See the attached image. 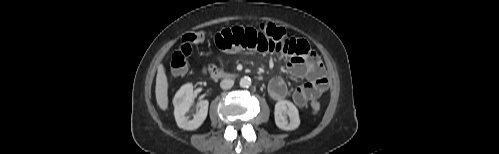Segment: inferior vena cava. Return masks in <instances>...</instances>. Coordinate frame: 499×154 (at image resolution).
I'll use <instances>...</instances> for the list:
<instances>
[{"instance_id":"1","label":"inferior vena cava","mask_w":499,"mask_h":154,"mask_svg":"<svg viewBox=\"0 0 499 154\" xmlns=\"http://www.w3.org/2000/svg\"><path fill=\"white\" fill-rule=\"evenodd\" d=\"M234 85V81L232 79H223L221 82H220V87L224 90L226 89H230L232 88Z\"/></svg>"}]
</instances>
